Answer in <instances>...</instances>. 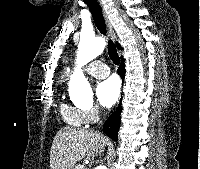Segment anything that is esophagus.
Instances as JSON below:
<instances>
[{"label":"esophagus","mask_w":200,"mask_h":169,"mask_svg":"<svg viewBox=\"0 0 200 169\" xmlns=\"http://www.w3.org/2000/svg\"><path fill=\"white\" fill-rule=\"evenodd\" d=\"M98 1L100 2V0H98ZM100 5H101V2H100ZM101 7H102L103 16H104L106 25H107V27H108V30H109V32H110V34H111L113 40L116 41V40H117L116 33H115V31H114V29H113V27H112V24H111V22H110V20H109V18H108V16H107V14H106V12H105V10H104V8H103L102 5H101Z\"/></svg>","instance_id":"obj_1"}]
</instances>
